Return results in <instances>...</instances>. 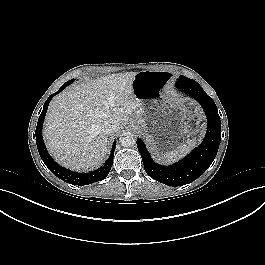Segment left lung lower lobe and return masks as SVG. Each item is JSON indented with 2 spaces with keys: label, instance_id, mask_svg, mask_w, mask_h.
Wrapping results in <instances>:
<instances>
[{
  "label": "left lung lower lobe",
  "instance_id": "obj_1",
  "mask_svg": "<svg viewBox=\"0 0 265 265\" xmlns=\"http://www.w3.org/2000/svg\"><path fill=\"white\" fill-rule=\"evenodd\" d=\"M176 87L196 99L202 105L207 116V133L201 145L183 160L171 166H162L152 160L142 140L137 139L138 151L147 174L153 179L173 187L189 184L200 177L215 159L221 139L220 116L213 99L196 81L187 77H180Z\"/></svg>",
  "mask_w": 265,
  "mask_h": 265
}]
</instances>
